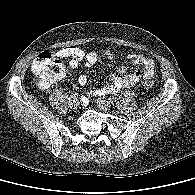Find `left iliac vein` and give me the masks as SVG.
Returning a JSON list of instances; mask_svg holds the SVG:
<instances>
[{"mask_svg":"<svg viewBox=\"0 0 195 195\" xmlns=\"http://www.w3.org/2000/svg\"><path fill=\"white\" fill-rule=\"evenodd\" d=\"M97 105L100 109L105 111L110 110L111 108V104L108 101L102 99L97 100Z\"/></svg>","mask_w":195,"mask_h":195,"instance_id":"1","label":"left iliac vein"}]
</instances>
